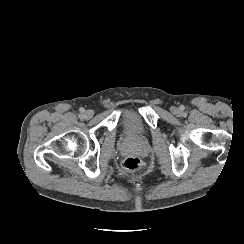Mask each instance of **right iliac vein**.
I'll return each mask as SVG.
<instances>
[{
  "mask_svg": "<svg viewBox=\"0 0 244 244\" xmlns=\"http://www.w3.org/2000/svg\"><path fill=\"white\" fill-rule=\"evenodd\" d=\"M85 118H91L93 116V112L91 110H86L83 114Z\"/></svg>",
  "mask_w": 244,
  "mask_h": 244,
  "instance_id": "obj_1",
  "label": "right iliac vein"
}]
</instances>
